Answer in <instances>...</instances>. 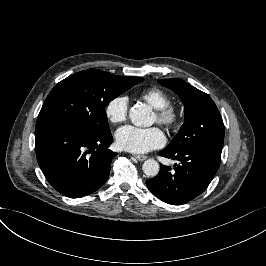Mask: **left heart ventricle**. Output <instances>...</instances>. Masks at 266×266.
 Returning a JSON list of instances; mask_svg holds the SVG:
<instances>
[{"label": "left heart ventricle", "mask_w": 266, "mask_h": 266, "mask_svg": "<svg viewBox=\"0 0 266 266\" xmlns=\"http://www.w3.org/2000/svg\"><path fill=\"white\" fill-rule=\"evenodd\" d=\"M155 120H157V116L155 115Z\"/></svg>", "instance_id": "left-heart-ventricle-1"}]
</instances>
